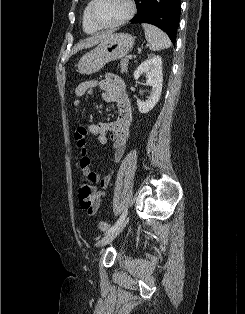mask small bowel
<instances>
[{"instance_id": "1", "label": "small bowel", "mask_w": 245, "mask_h": 314, "mask_svg": "<svg viewBox=\"0 0 245 314\" xmlns=\"http://www.w3.org/2000/svg\"><path fill=\"white\" fill-rule=\"evenodd\" d=\"M96 88L102 90L103 101L116 104L118 117L111 122L84 123L79 125L75 132L76 146L80 155L79 169L91 182L97 183L101 187L96 194L94 208L89 213L90 215L95 214L100 206L105 195L104 189L109 185L112 170L105 173L91 171L94 161L88 153L87 138L95 136L100 144H106L110 138L113 146V163L116 164L125 151L132 121L131 103L125 83L115 74H107L102 80H89L77 85L74 91L75 105L79 106V99L91 95Z\"/></svg>"}]
</instances>
